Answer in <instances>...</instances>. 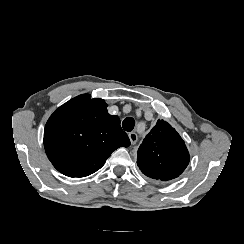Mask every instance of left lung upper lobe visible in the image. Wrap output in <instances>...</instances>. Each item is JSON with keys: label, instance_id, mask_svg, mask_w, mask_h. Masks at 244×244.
Instances as JSON below:
<instances>
[{"label": "left lung upper lobe", "instance_id": "1", "mask_svg": "<svg viewBox=\"0 0 244 244\" xmlns=\"http://www.w3.org/2000/svg\"><path fill=\"white\" fill-rule=\"evenodd\" d=\"M137 153V165L142 173L156 181L178 177L189 163L185 142L164 120L157 121Z\"/></svg>", "mask_w": 244, "mask_h": 244}]
</instances>
